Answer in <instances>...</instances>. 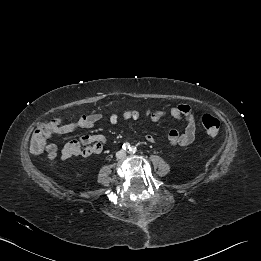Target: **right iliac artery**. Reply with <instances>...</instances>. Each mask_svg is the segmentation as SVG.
I'll use <instances>...</instances> for the list:
<instances>
[{
	"mask_svg": "<svg viewBox=\"0 0 261 261\" xmlns=\"http://www.w3.org/2000/svg\"><path fill=\"white\" fill-rule=\"evenodd\" d=\"M122 148H123L124 150H126V149H129V150H130L131 147H130L129 143H125V144H123Z\"/></svg>",
	"mask_w": 261,
	"mask_h": 261,
	"instance_id": "1",
	"label": "right iliac artery"
}]
</instances>
